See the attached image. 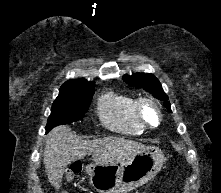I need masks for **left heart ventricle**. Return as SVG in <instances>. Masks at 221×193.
Returning a JSON list of instances; mask_svg holds the SVG:
<instances>
[{"instance_id": "b2bd125f", "label": "left heart ventricle", "mask_w": 221, "mask_h": 193, "mask_svg": "<svg viewBox=\"0 0 221 193\" xmlns=\"http://www.w3.org/2000/svg\"><path fill=\"white\" fill-rule=\"evenodd\" d=\"M146 114L152 122L156 121L157 115H156V112L152 108H148L146 111Z\"/></svg>"}]
</instances>
